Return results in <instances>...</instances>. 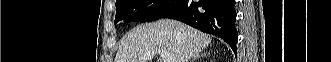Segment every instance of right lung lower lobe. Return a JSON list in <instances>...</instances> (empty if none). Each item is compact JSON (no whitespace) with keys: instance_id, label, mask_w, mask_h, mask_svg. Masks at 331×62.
Masks as SVG:
<instances>
[{"instance_id":"obj_1","label":"right lung lower lobe","mask_w":331,"mask_h":62,"mask_svg":"<svg viewBox=\"0 0 331 62\" xmlns=\"http://www.w3.org/2000/svg\"><path fill=\"white\" fill-rule=\"evenodd\" d=\"M235 0H180L162 18L184 22L226 41L236 54Z\"/></svg>"}]
</instances>
